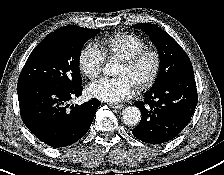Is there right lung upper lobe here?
Returning a JSON list of instances; mask_svg holds the SVG:
<instances>
[{
	"mask_svg": "<svg viewBox=\"0 0 224 175\" xmlns=\"http://www.w3.org/2000/svg\"><path fill=\"white\" fill-rule=\"evenodd\" d=\"M66 27H69V26H65V27H62V28H66Z\"/></svg>",
	"mask_w": 224,
	"mask_h": 175,
	"instance_id": "1",
	"label": "right lung upper lobe"
}]
</instances>
